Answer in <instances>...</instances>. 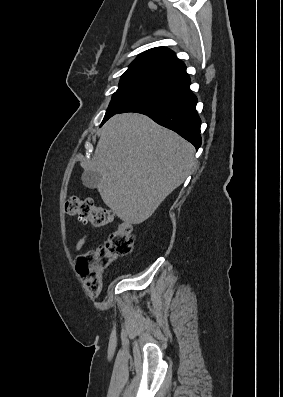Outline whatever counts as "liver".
I'll return each instance as SVG.
<instances>
[{
	"instance_id": "6515ba94",
	"label": "liver",
	"mask_w": 283,
	"mask_h": 397,
	"mask_svg": "<svg viewBox=\"0 0 283 397\" xmlns=\"http://www.w3.org/2000/svg\"><path fill=\"white\" fill-rule=\"evenodd\" d=\"M195 148L145 115L117 114L102 128L86 170L101 174L104 203L123 221L141 224L193 171Z\"/></svg>"
}]
</instances>
